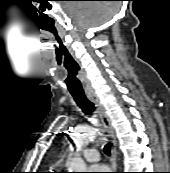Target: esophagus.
<instances>
[{
    "mask_svg": "<svg viewBox=\"0 0 170 173\" xmlns=\"http://www.w3.org/2000/svg\"><path fill=\"white\" fill-rule=\"evenodd\" d=\"M87 98L96 106L97 108V112L100 116V119L108 133V136L111 140L112 146H111V168H112V172H115L116 168H117V164H116V157H117V152H116V138H115V133H114V129L113 126L111 124L110 118L108 116V114L106 113V110L104 108V106L102 105L99 97L97 96V94L95 92H87L86 93Z\"/></svg>",
    "mask_w": 170,
    "mask_h": 173,
    "instance_id": "1",
    "label": "esophagus"
}]
</instances>
